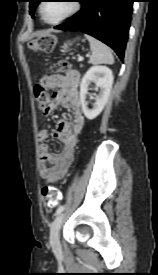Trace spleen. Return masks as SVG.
<instances>
[{
    "label": "spleen",
    "instance_id": "3e777b00",
    "mask_svg": "<svg viewBox=\"0 0 158 275\" xmlns=\"http://www.w3.org/2000/svg\"><path fill=\"white\" fill-rule=\"evenodd\" d=\"M86 39L90 43V48L92 51V55L90 56L89 62L91 64H113L114 63V57L112 55V52L108 46H106L104 43L100 42L99 40L89 36L85 35Z\"/></svg>",
    "mask_w": 158,
    "mask_h": 275
}]
</instances>
